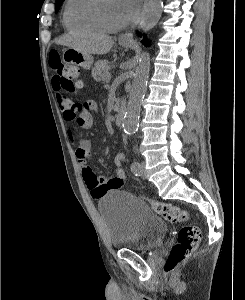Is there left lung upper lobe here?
<instances>
[{
	"instance_id": "obj_1",
	"label": "left lung upper lobe",
	"mask_w": 245,
	"mask_h": 300,
	"mask_svg": "<svg viewBox=\"0 0 245 300\" xmlns=\"http://www.w3.org/2000/svg\"><path fill=\"white\" fill-rule=\"evenodd\" d=\"M64 0H56L55 11H58Z\"/></svg>"
}]
</instances>
